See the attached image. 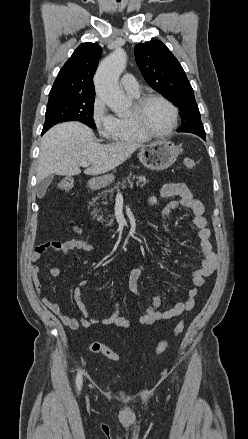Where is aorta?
I'll return each mask as SVG.
<instances>
[{
	"label": "aorta",
	"mask_w": 248,
	"mask_h": 439,
	"mask_svg": "<svg viewBox=\"0 0 248 439\" xmlns=\"http://www.w3.org/2000/svg\"><path fill=\"white\" fill-rule=\"evenodd\" d=\"M126 62V52L117 48L100 63L94 77L97 96L117 114L126 111L130 106L129 98L118 84Z\"/></svg>",
	"instance_id": "obj_1"
}]
</instances>
